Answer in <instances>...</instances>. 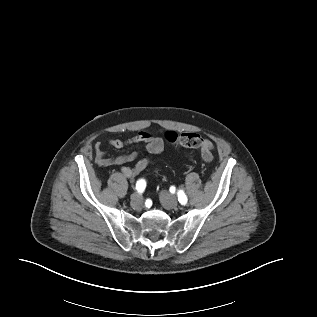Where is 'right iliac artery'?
Instances as JSON below:
<instances>
[{
	"instance_id": "1",
	"label": "right iliac artery",
	"mask_w": 317,
	"mask_h": 317,
	"mask_svg": "<svg viewBox=\"0 0 317 317\" xmlns=\"http://www.w3.org/2000/svg\"><path fill=\"white\" fill-rule=\"evenodd\" d=\"M146 188V182L144 179H140L137 181L136 183V190L139 192V193H142Z\"/></svg>"
}]
</instances>
